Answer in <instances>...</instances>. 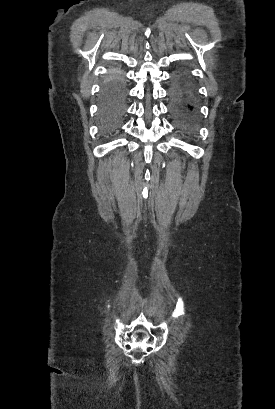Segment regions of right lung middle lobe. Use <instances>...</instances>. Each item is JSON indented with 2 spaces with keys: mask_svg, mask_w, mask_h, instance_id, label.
I'll return each mask as SVG.
<instances>
[{
  "mask_svg": "<svg viewBox=\"0 0 275 409\" xmlns=\"http://www.w3.org/2000/svg\"><path fill=\"white\" fill-rule=\"evenodd\" d=\"M126 85L120 73L109 75L103 86V98L100 107V119L103 132L114 134L125 114Z\"/></svg>",
  "mask_w": 275,
  "mask_h": 409,
  "instance_id": "dd1d6c3e",
  "label": "right lung middle lobe"
}]
</instances>
